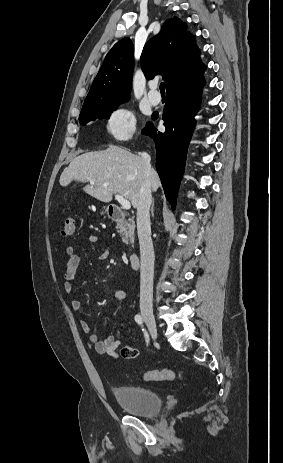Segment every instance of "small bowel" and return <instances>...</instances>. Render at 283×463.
<instances>
[{
    "label": "small bowel",
    "instance_id": "obj_1",
    "mask_svg": "<svg viewBox=\"0 0 283 463\" xmlns=\"http://www.w3.org/2000/svg\"><path fill=\"white\" fill-rule=\"evenodd\" d=\"M88 240L91 243H97L98 237L95 234H89ZM66 263H65V283L64 290L67 295L70 296V305L73 311H79L82 307V302L74 297V286L73 280L75 278L80 258L76 253L75 247L73 245H68L66 247ZM110 255L109 249H104L98 259L103 261L107 259ZM113 296L118 301H124L127 298V294L123 290H116L113 293ZM80 326L82 330L88 334V341L91 343L98 354H107L115 359L123 357L125 359H135L138 356V350L133 346L127 345L124 346L120 351L118 348L121 345V329L125 326V323H122L117 329L115 334H110L106 336L103 340H99L98 336L90 332V327L85 321H80Z\"/></svg>",
    "mask_w": 283,
    "mask_h": 463
}]
</instances>
